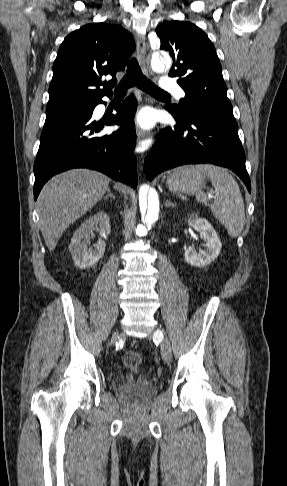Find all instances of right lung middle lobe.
I'll list each match as a JSON object with an SVG mask.
<instances>
[{
    "label": "right lung middle lobe",
    "instance_id": "obj_1",
    "mask_svg": "<svg viewBox=\"0 0 287 486\" xmlns=\"http://www.w3.org/2000/svg\"><path fill=\"white\" fill-rule=\"evenodd\" d=\"M90 104H78L53 109H46L45 125L64 119L83 116L87 113Z\"/></svg>",
    "mask_w": 287,
    "mask_h": 486
}]
</instances>
